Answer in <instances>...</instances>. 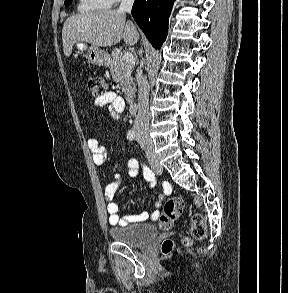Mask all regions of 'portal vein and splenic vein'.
<instances>
[{
  "label": "portal vein and splenic vein",
  "instance_id": "18ae733b",
  "mask_svg": "<svg viewBox=\"0 0 288 293\" xmlns=\"http://www.w3.org/2000/svg\"><path fill=\"white\" fill-rule=\"evenodd\" d=\"M133 55L132 53H129V52H126L122 55V60L124 62H127V63H130V62H133Z\"/></svg>",
  "mask_w": 288,
  "mask_h": 293
}]
</instances>
